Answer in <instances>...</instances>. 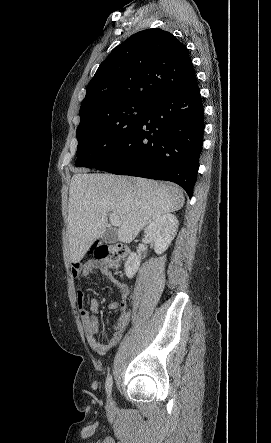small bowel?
I'll return each instance as SVG.
<instances>
[{"label": "small bowel", "instance_id": "c3829d8e", "mask_svg": "<svg viewBox=\"0 0 271 443\" xmlns=\"http://www.w3.org/2000/svg\"><path fill=\"white\" fill-rule=\"evenodd\" d=\"M96 269L114 283L120 290L121 294L120 301H112L108 305V308L111 310H120L117 320L111 325L112 334L104 341H99L98 337L102 334L101 325L97 318L99 302L95 298L89 299V309H87L84 305L85 294L81 286L77 292V305L86 340L93 351L99 354H104L119 342L130 322L131 312L127 310L130 289L127 284L117 280L112 272L98 261H89L84 265L74 263L71 267V272L72 276L75 278L79 276L87 278L94 274Z\"/></svg>", "mask_w": 271, "mask_h": 443}]
</instances>
